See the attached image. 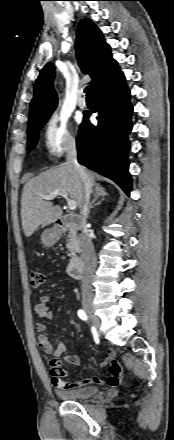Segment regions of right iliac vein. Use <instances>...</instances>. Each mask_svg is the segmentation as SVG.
Here are the masks:
<instances>
[{
    "mask_svg": "<svg viewBox=\"0 0 174 440\" xmlns=\"http://www.w3.org/2000/svg\"><path fill=\"white\" fill-rule=\"evenodd\" d=\"M83 308H84L85 312L88 314V316L90 317V319L92 320V322L94 323V325L96 327H99L100 326V319L95 314L92 305L89 303H84Z\"/></svg>",
    "mask_w": 174,
    "mask_h": 440,
    "instance_id": "right-iliac-vein-1",
    "label": "right iliac vein"
}]
</instances>
